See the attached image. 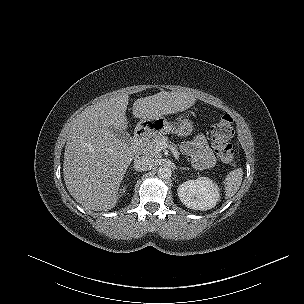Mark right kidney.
<instances>
[{
  "mask_svg": "<svg viewBox=\"0 0 304 304\" xmlns=\"http://www.w3.org/2000/svg\"><path fill=\"white\" fill-rule=\"evenodd\" d=\"M121 191H122V194L125 193V191H126V186H124L123 189H121Z\"/></svg>",
  "mask_w": 304,
  "mask_h": 304,
  "instance_id": "right-kidney-1",
  "label": "right kidney"
}]
</instances>
